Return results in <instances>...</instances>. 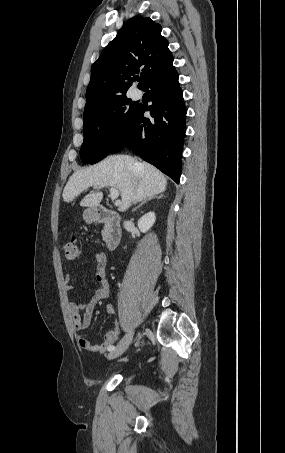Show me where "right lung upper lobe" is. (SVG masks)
<instances>
[{"label":"right lung upper lobe","instance_id":"right-lung-upper-lobe-1","mask_svg":"<svg viewBox=\"0 0 285 453\" xmlns=\"http://www.w3.org/2000/svg\"><path fill=\"white\" fill-rule=\"evenodd\" d=\"M161 25L149 17L134 16L104 48L91 67L84 114L103 104L126 96L135 74L142 69L138 87L172 67L168 41Z\"/></svg>","mask_w":285,"mask_h":453}]
</instances>
